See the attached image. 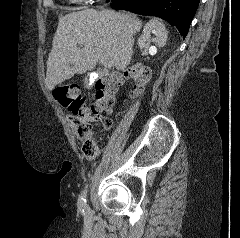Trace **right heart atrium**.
I'll return each mask as SVG.
<instances>
[{"label":"right heart atrium","instance_id":"right-heart-atrium-1","mask_svg":"<svg viewBox=\"0 0 240 238\" xmlns=\"http://www.w3.org/2000/svg\"><path fill=\"white\" fill-rule=\"evenodd\" d=\"M77 3H81V4H90L93 3L94 1H98V0H74Z\"/></svg>","mask_w":240,"mask_h":238}]
</instances>
